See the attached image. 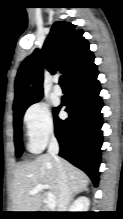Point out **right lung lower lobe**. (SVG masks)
Listing matches in <instances>:
<instances>
[{
	"instance_id": "obj_1",
	"label": "right lung lower lobe",
	"mask_w": 123,
	"mask_h": 219,
	"mask_svg": "<svg viewBox=\"0 0 123 219\" xmlns=\"http://www.w3.org/2000/svg\"><path fill=\"white\" fill-rule=\"evenodd\" d=\"M94 58L68 78L69 92L54 109L55 135L60 144L59 155L88 174L95 186L99 181V165L103 124V103ZM62 106L69 117L58 118Z\"/></svg>"
}]
</instances>
